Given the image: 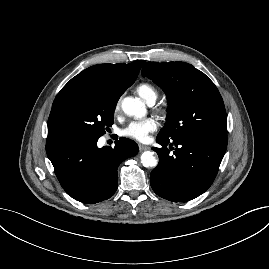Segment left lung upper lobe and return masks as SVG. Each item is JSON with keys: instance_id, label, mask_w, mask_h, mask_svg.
I'll return each mask as SVG.
<instances>
[{"instance_id": "left-lung-upper-lobe-1", "label": "left lung upper lobe", "mask_w": 269, "mask_h": 269, "mask_svg": "<svg viewBox=\"0 0 269 269\" xmlns=\"http://www.w3.org/2000/svg\"><path fill=\"white\" fill-rule=\"evenodd\" d=\"M142 76L160 86L168 99L166 126L157 138L171 141L194 134L227 136L222 97L204 73L184 62H148Z\"/></svg>"}]
</instances>
